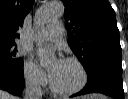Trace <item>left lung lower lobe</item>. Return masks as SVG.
Masks as SVG:
<instances>
[{
    "label": "left lung lower lobe",
    "mask_w": 128,
    "mask_h": 99,
    "mask_svg": "<svg viewBox=\"0 0 128 99\" xmlns=\"http://www.w3.org/2000/svg\"><path fill=\"white\" fill-rule=\"evenodd\" d=\"M87 84L73 96L103 93L115 99H124L121 58L100 57L87 69Z\"/></svg>",
    "instance_id": "obj_1"
}]
</instances>
